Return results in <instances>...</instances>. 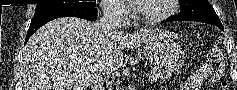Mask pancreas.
Here are the masks:
<instances>
[{
  "label": "pancreas",
  "mask_w": 237,
  "mask_h": 90,
  "mask_svg": "<svg viewBox=\"0 0 237 90\" xmlns=\"http://www.w3.org/2000/svg\"><path fill=\"white\" fill-rule=\"evenodd\" d=\"M181 66L182 62H178V64H163V67H154L153 70H151V74H153V76H149V78H154V76H156V72H158L160 80L171 78L174 72H179Z\"/></svg>",
  "instance_id": "obj_1"
}]
</instances>
